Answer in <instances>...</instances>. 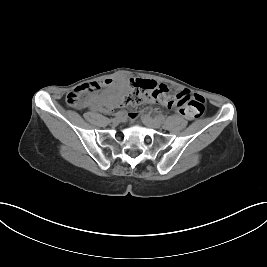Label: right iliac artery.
<instances>
[{
	"instance_id": "obj_1",
	"label": "right iliac artery",
	"mask_w": 267,
	"mask_h": 267,
	"mask_svg": "<svg viewBox=\"0 0 267 267\" xmlns=\"http://www.w3.org/2000/svg\"><path fill=\"white\" fill-rule=\"evenodd\" d=\"M123 114L122 111H118L117 113H115L114 115L117 117V116H121Z\"/></svg>"
}]
</instances>
